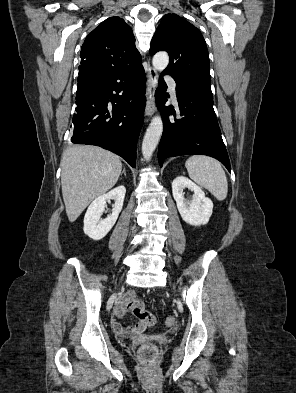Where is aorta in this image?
I'll list each match as a JSON object with an SVG mask.
<instances>
[{"instance_id":"aorta-1","label":"aorta","mask_w":296,"mask_h":393,"mask_svg":"<svg viewBox=\"0 0 296 393\" xmlns=\"http://www.w3.org/2000/svg\"><path fill=\"white\" fill-rule=\"evenodd\" d=\"M169 63L166 52H158L153 56L152 64L156 70H164ZM163 132V122L159 115L153 117L142 142V154L146 161L150 160Z\"/></svg>"}]
</instances>
